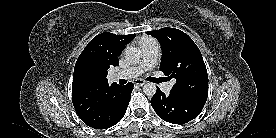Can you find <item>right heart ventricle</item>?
<instances>
[{
    "instance_id": "right-heart-ventricle-1",
    "label": "right heart ventricle",
    "mask_w": 276,
    "mask_h": 138,
    "mask_svg": "<svg viewBox=\"0 0 276 138\" xmlns=\"http://www.w3.org/2000/svg\"><path fill=\"white\" fill-rule=\"evenodd\" d=\"M151 40H154V39H151V38H144V39L142 40V42H144V41H151Z\"/></svg>"
}]
</instances>
